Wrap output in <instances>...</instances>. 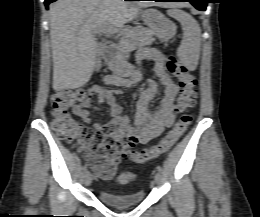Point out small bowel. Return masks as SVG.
Instances as JSON below:
<instances>
[{"instance_id":"c3829d8e","label":"small bowel","mask_w":260,"mask_h":217,"mask_svg":"<svg viewBox=\"0 0 260 217\" xmlns=\"http://www.w3.org/2000/svg\"><path fill=\"white\" fill-rule=\"evenodd\" d=\"M138 59L154 62V71L158 77V82L164 87L163 97L153 112L149 110V104L157 93V82L153 80L146 81L145 89L139 95L133 123L130 122L128 116L123 114L122 106L115 100V94L120 91L118 89H108L103 85L93 86L90 92L97 95L101 100H106L110 105L112 118L108 123L91 122L89 110L98 109L92 103L73 108V112L78 117L90 124L92 128L102 130L107 135H110L116 143L120 144L122 138L127 136L129 146L147 144L158 137L165 128L172 126L174 122V103L179 91L177 83L166 73L164 57L158 50L152 48L143 49L139 52ZM141 78V70L136 69L128 78L109 75L105 77L104 81L106 84L113 86H130L139 82Z\"/></svg>"}]
</instances>
